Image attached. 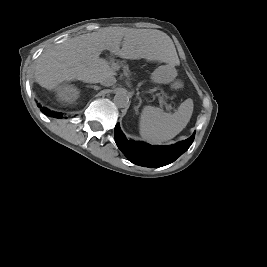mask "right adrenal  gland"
Segmentation results:
<instances>
[{
	"instance_id": "2a0ac1e0",
	"label": "right adrenal gland",
	"mask_w": 267,
	"mask_h": 267,
	"mask_svg": "<svg viewBox=\"0 0 267 267\" xmlns=\"http://www.w3.org/2000/svg\"><path fill=\"white\" fill-rule=\"evenodd\" d=\"M86 87L94 88L95 90L101 89V87L96 86V85H87Z\"/></svg>"
}]
</instances>
